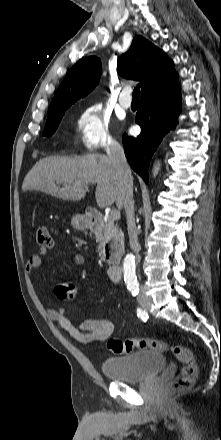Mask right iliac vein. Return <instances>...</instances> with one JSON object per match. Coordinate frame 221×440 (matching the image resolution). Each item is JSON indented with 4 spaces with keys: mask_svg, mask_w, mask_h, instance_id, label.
<instances>
[{
    "mask_svg": "<svg viewBox=\"0 0 221 440\" xmlns=\"http://www.w3.org/2000/svg\"><path fill=\"white\" fill-rule=\"evenodd\" d=\"M141 306L145 309H147L150 306V301H143L141 302Z\"/></svg>",
    "mask_w": 221,
    "mask_h": 440,
    "instance_id": "1",
    "label": "right iliac vein"
}]
</instances>
